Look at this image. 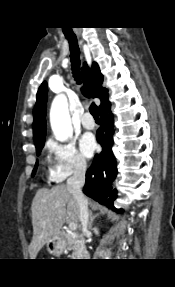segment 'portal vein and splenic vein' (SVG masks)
Segmentation results:
<instances>
[{
	"instance_id": "portal-vein-and-splenic-vein-1",
	"label": "portal vein and splenic vein",
	"mask_w": 175,
	"mask_h": 287,
	"mask_svg": "<svg viewBox=\"0 0 175 287\" xmlns=\"http://www.w3.org/2000/svg\"><path fill=\"white\" fill-rule=\"evenodd\" d=\"M69 228L72 231H75L77 229V224L74 222L69 223Z\"/></svg>"
}]
</instances>
